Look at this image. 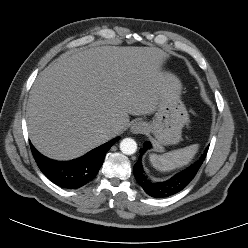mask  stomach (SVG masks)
I'll return each mask as SVG.
<instances>
[{"label":"stomach","mask_w":248,"mask_h":248,"mask_svg":"<svg viewBox=\"0 0 248 248\" xmlns=\"http://www.w3.org/2000/svg\"><path fill=\"white\" fill-rule=\"evenodd\" d=\"M169 87L168 96L162 98L155 117L146 124L147 133L155 138L157 146L174 145L182 140V128L189 122V114L181 100V81L169 72H163Z\"/></svg>","instance_id":"obj_1"}]
</instances>
